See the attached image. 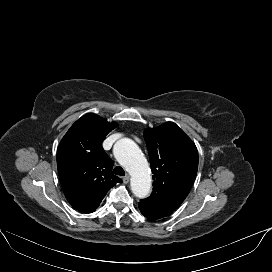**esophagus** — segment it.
<instances>
[{"mask_svg":"<svg viewBox=\"0 0 272 272\" xmlns=\"http://www.w3.org/2000/svg\"><path fill=\"white\" fill-rule=\"evenodd\" d=\"M129 181H130V176L129 175H126V176L123 177V182L125 184L129 183Z\"/></svg>","mask_w":272,"mask_h":272,"instance_id":"1","label":"esophagus"}]
</instances>
